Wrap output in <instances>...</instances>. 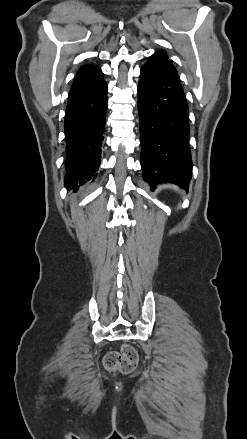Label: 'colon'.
<instances>
[{"instance_id": "5ec220e1", "label": "colon", "mask_w": 247, "mask_h": 439, "mask_svg": "<svg viewBox=\"0 0 247 439\" xmlns=\"http://www.w3.org/2000/svg\"><path fill=\"white\" fill-rule=\"evenodd\" d=\"M138 355L131 345H123L120 351H111L104 358V365L109 371L123 374L130 373L136 367Z\"/></svg>"}]
</instances>
